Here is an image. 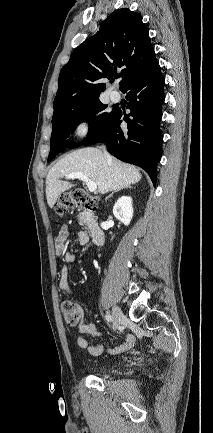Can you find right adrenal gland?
<instances>
[{
    "label": "right adrenal gland",
    "instance_id": "2a0ac1e0",
    "mask_svg": "<svg viewBox=\"0 0 213 433\" xmlns=\"http://www.w3.org/2000/svg\"><path fill=\"white\" fill-rule=\"evenodd\" d=\"M126 188L131 189L132 187H131V186H128V187H126ZM122 189H123V188H121V189H117L116 191H114L112 194H110V195L106 198V201H107L109 198H111V197L113 196L114 193L119 192V191L122 190Z\"/></svg>",
    "mask_w": 213,
    "mask_h": 433
}]
</instances>
